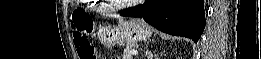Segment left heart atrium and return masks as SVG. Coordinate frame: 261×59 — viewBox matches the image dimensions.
I'll return each mask as SVG.
<instances>
[{"label":"left heart atrium","instance_id":"obj_1","mask_svg":"<svg viewBox=\"0 0 261 59\" xmlns=\"http://www.w3.org/2000/svg\"><path fill=\"white\" fill-rule=\"evenodd\" d=\"M126 2H128V3H140V2H142V0H128Z\"/></svg>","mask_w":261,"mask_h":59}]
</instances>
